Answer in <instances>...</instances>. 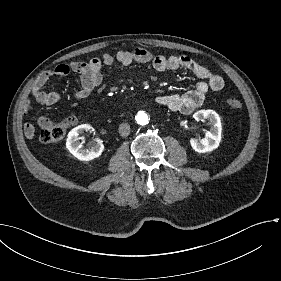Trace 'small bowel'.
<instances>
[{
  "label": "small bowel",
  "mask_w": 281,
  "mask_h": 281,
  "mask_svg": "<svg viewBox=\"0 0 281 281\" xmlns=\"http://www.w3.org/2000/svg\"><path fill=\"white\" fill-rule=\"evenodd\" d=\"M116 62L122 65L132 63L149 64L155 71H175L186 69L192 72L198 80L194 88L183 94H159L156 96V103L173 112L189 114L204 102L209 91L218 92L224 88V79L219 74L209 68L202 66L186 55L162 56L155 55L144 49H135L133 51L120 50L115 55L103 54L100 58H93L87 62L74 61L70 65H58L54 71L42 73L35 81L32 88L33 98L43 105H53L60 101L61 94L56 91H46L44 86L52 75L66 76L74 72L80 76L81 88L74 93L76 99L87 98L93 90L100 85L102 81V68L112 66ZM33 104L28 100L24 115L31 113ZM42 126L49 124V120L42 119ZM24 138H34L33 125L26 123L24 127Z\"/></svg>",
  "instance_id": "small-bowel-1"
}]
</instances>
